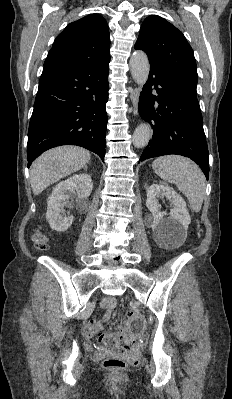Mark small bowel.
Instances as JSON below:
<instances>
[{
    "label": "small bowel",
    "mask_w": 232,
    "mask_h": 399,
    "mask_svg": "<svg viewBox=\"0 0 232 399\" xmlns=\"http://www.w3.org/2000/svg\"><path fill=\"white\" fill-rule=\"evenodd\" d=\"M117 299L114 295H108L102 298L101 306L105 309L104 319L107 320L110 317V312L114 309ZM76 327L84 332L93 333L104 330V324L102 321H94L91 323L77 322Z\"/></svg>",
    "instance_id": "small-bowel-1"
}]
</instances>
